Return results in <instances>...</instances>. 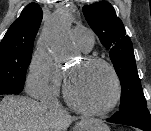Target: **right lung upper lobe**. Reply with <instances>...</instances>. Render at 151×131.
<instances>
[{
	"instance_id": "obj_1",
	"label": "right lung upper lobe",
	"mask_w": 151,
	"mask_h": 131,
	"mask_svg": "<svg viewBox=\"0 0 151 131\" xmlns=\"http://www.w3.org/2000/svg\"><path fill=\"white\" fill-rule=\"evenodd\" d=\"M42 17V9L37 3L28 4L21 12L20 17L10 26L1 44L33 45Z\"/></svg>"
}]
</instances>
